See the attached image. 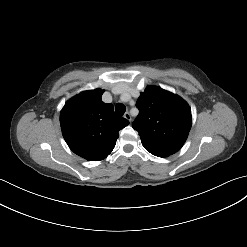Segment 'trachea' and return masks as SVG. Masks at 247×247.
Instances as JSON below:
<instances>
[{
  "instance_id": "1",
  "label": "trachea",
  "mask_w": 247,
  "mask_h": 247,
  "mask_svg": "<svg viewBox=\"0 0 247 247\" xmlns=\"http://www.w3.org/2000/svg\"><path fill=\"white\" fill-rule=\"evenodd\" d=\"M115 111L118 115L122 116L125 111H126V107L124 104H121V103H118L116 106H115Z\"/></svg>"
}]
</instances>
